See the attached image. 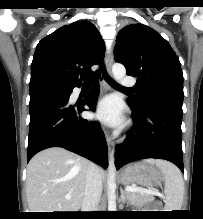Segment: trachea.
I'll use <instances>...</instances> for the list:
<instances>
[{
  "instance_id": "obj_1",
  "label": "trachea",
  "mask_w": 203,
  "mask_h": 219,
  "mask_svg": "<svg viewBox=\"0 0 203 219\" xmlns=\"http://www.w3.org/2000/svg\"><path fill=\"white\" fill-rule=\"evenodd\" d=\"M99 76V73L96 72L94 75L89 76V77H84V85H93L95 83V81L97 80ZM106 79L108 81V83L116 89H123V90H132L131 88H125L123 86H121L120 84H118L117 82H115L114 80H112L110 77H108L106 75Z\"/></svg>"
}]
</instances>
